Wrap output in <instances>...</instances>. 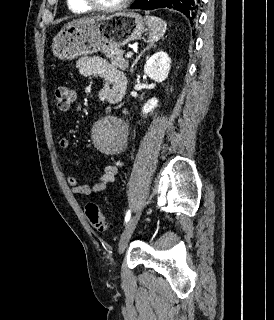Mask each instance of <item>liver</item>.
Segmentation results:
<instances>
[{
	"label": "liver",
	"mask_w": 274,
	"mask_h": 320,
	"mask_svg": "<svg viewBox=\"0 0 274 320\" xmlns=\"http://www.w3.org/2000/svg\"><path fill=\"white\" fill-rule=\"evenodd\" d=\"M93 18H100V16H92V20ZM82 20H91V18H80V20H73L70 24H76V22H82Z\"/></svg>",
	"instance_id": "6515ba94"
}]
</instances>
